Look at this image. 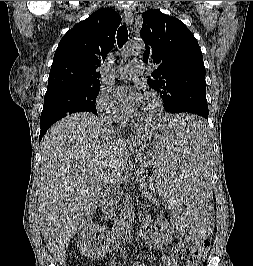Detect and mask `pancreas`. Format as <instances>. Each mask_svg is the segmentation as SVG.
<instances>
[{"label": "pancreas", "mask_w": 253, "mask_h": 266, "mask_svg": "<svg viewBox=\"0 0 253 266\" xmlns=\"http://www.w3.org/2000/svg\"><path fill=\"white\" fill-rule=\"evenodd\" d=\"M138 178H139V181L141 182V190H142V192H143V196H144V198L145 199H149V200H155L154 198H153V196L152 197H149V194H152V192H149L148 190H147V181L145 180V178L144 177H142V176H138ZM146 192H149V194H147ZM108 213V212H107Z\"/></svg>", "instance_id": "pancreas-1"}]
</instances>
